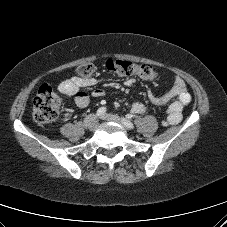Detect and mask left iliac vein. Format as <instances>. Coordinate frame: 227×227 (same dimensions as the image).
Segmentation results:
<instances>
[{"instance_id":"4c4485c4","label":"left iliac vein","mask_w":227,"mask_h":227,"mask_svg":"<svg viewBox=\"0 0 227 227\" xmlns=\"http://www.w3.org/2000/svg\"><path fill=\"white\" fill-rule=\"evenodd\" d=\"M102 118L105 119V120H108V121L116 122V123L122 125L124 128H127L125 126L123 120L117 115L106 114V115H103Z\"/></svg>"}]
</instances>
